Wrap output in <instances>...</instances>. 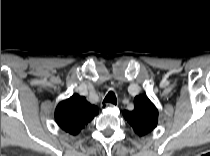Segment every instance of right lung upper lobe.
Wrapping results in <instances>:
<instances>
[{
    "mask_svg": "<svg viewBox=\"0 0 210 156\" xmlns=\"http://www.w3.org/2000/svg\"><path fill=\"white\" fill-rule=\"evenodd\" d=\"M98 107L78 94L61 101L55 110V121L65 132L77 135L96 115Z\"/></svg>",
    "mask_w": 210,
    "mask_h": 156,
    "instance_id": "right-lung-upper-lobe-1",
    "label": "right lung upper lobe"
}]
</instances>
